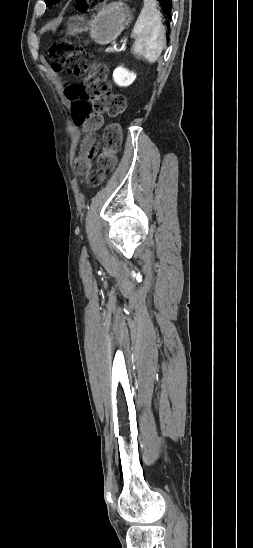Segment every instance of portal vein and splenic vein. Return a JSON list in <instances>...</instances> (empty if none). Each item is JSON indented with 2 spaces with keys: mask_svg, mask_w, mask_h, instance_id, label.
Here are the masks:
<instances>
[{
  "mask_svg": "<svg viewBox=\"0 0 253 548\" xmlns=\"http://www.w3.org/2000/svg\"><path fill=\"white\" fill-rule=\"evenodd\" d=\"M127 48L126 44L122 46V50H125Z\"/></svg>",
  "mask_w": 253,
  "mask_h": 548,
  "instance_id": "portal-vein-and-splenic-vein-1",
  "label": "portal vein and splenic vein"
}]
</instances>
